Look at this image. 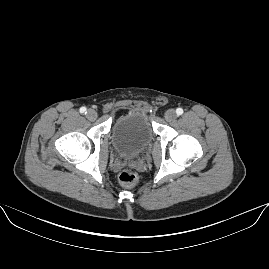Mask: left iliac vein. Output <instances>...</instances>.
Listing matches in <instances>:
<instances>
[{"instance_id": "obj_1", "label": "left iliac vein", "mask_w": 269, "mask_h": 269, "mask_svg": "<svg viewBox=\"0 0 269 269\" xmlns=\"http://www.w3.org/2000/svg\"><path fill=\"white\" fill-rule=\"evenodd\" d=\"M177 114L175 110L169 109L165 112V119L167 122H174L176 120Z\"/></svg>"}]
</instances>
